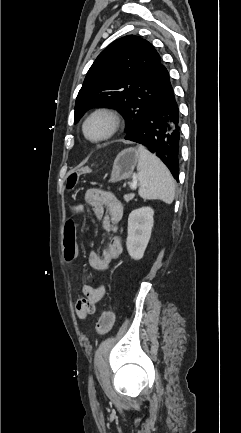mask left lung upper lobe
Segmentation results:
<instances>
[{
	"label": "left lung upper lobe",
	"instance_id": "1",
	"mask_svg": "<svg viewBox=\"0 0 241 433\" xmlns=\"http://www.w3.org/2000/svg\"><path fill=\"white\" fill-rule=\"evenodd\" d=\"M168 70L151 43L134 35L112 42L90 67L76 104L74 123L98 105L119 108L134 131L165 89Z\"/></svg>",
	"mask_w": 241,
	"mask_h": 433
}]
</instances>
